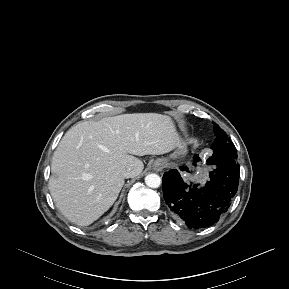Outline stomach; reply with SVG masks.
<instances>
[{
	"label": "stomach",
	"mask_w": 289,
	"mask_h": 289,
	"mask_svg": "<svg viewBox=\"0 0 289 289\" xmlns=\"http://www.w3.org/2000/svg\"><path fill=\"white\" fill-rule=\"evenodd\" d=\"M172 150V153L167 158H165L164 161L166 163L169 161L183 162L187 153V144L184 141L178 139L176 146Z\"/></svg>",
	"instance_id": "obj_1"
}]
</instances>
